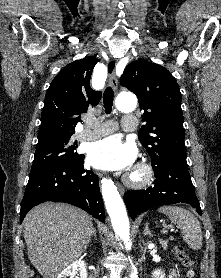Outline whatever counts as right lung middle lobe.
I'll list each match as a JSON object with an SVG mask.
<instances>
[{"label": "right lung middle lobe", "instance_id": "dd1d6c3e", "mask_svg": "<svg viewBox=\"0 0 221 278\" xmlns=\"http://www.w3.org/2000/svg\"><path fill=\"white\" fill-rule=\"evenodd\" d=\"M70 137L38 142L30 175L51 165L81 159L83 155L74 152L77 146L72 143Z\"/></svg>", "mask_w": 221, "mask_h": 278}]
</instances>
